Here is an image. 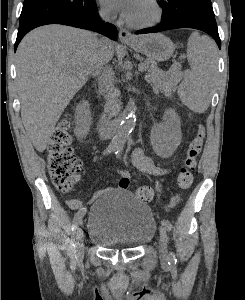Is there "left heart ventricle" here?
<instances>
[{"instance_id":"b2bd125f","label":"left heart ventricle","mask_w":245,"mask_h":300,"mask_svg":"<svg viewBox=\"0 0 245 300\" xmlns=\"http://www.w3.org/2000/svg\"><path fill=\"white\" fill-rule=\"evenodd\" d=\"M155 11L148 0H135L130 8L127 20L132 22H148L153 19Z\"/></svg>"}]
</instances>
